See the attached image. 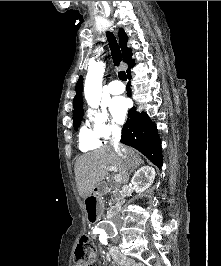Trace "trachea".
Wrapping results in <instances>:
<instances>
[{
    "label": "trachea",
    "instance_id": "obj_1",
    "mask_svg": "<svg viewBox=\"0 0 221 266\" xmlns=\"http://www.w3.org/2000/svg\"><path fill=\"white\" fill-rule=\"evenodd\" d=\"M106 36H107V40L109 42V47L111 50V55H112L114 65L119 66L121 59H122V55H121V51H120L119 45L117 43V40H116V38L112 32H107ZM118 76H119V79L122 81L127 80V75L124 71H120L118 73Z\"/></svg>",
    "mask_w": 221,
    "mask_h": 266
}]
</instances>
